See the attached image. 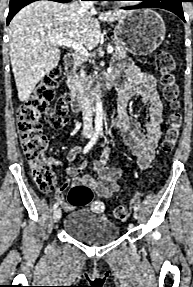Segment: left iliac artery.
Returning a JSON list of instances; mask_svg holds the SVG:
<instances>
[{"instance_id":"1","label":"left iliac artery","mask_w":193,"mask_h":287,"mask_svg":"<svg viewBox=\"0 0 193 287\" xmlns=\"http://www.w3.org/2000/svg\"><path fill=\"white\" fill-rule=\"evenodd\" d=\"M132 207H133L134 211H138V207L135 204H133Z\"/></svg>"}]
</instances>
